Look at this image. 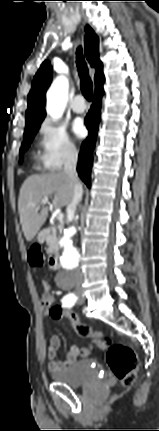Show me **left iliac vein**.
I'll list each match as a JSON object with an SVG mask.
<instances>
[{
	"mask_svg": "<svg viewBox=\"0 0 159 431\" xmlns=\"http://www.w3.org/2000/svg\"><path fill=\"white\" fill-rule=\"evenodd\" d=\"M78 303H79L80 305H81V304H83V303H84V298H83V297H80V298H79V302H78Z\"/></svg>",
	"mask_w": 159,
	"mask_h": 431,
	"instance_id": "4c4485c4",
	"label": "left iliac vein"
}]
</instances>
